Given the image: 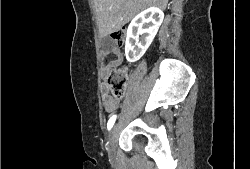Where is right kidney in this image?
Here are the masks:
<instances>
[{"label":"right kidney","mask_w":250,"mask_h":169,"mask_svg":"<svg viewBox=\"0 0 250 169\" xmlns=\"http://www.w3.org/2000/svg\"><path fill=\"white\" fill-rule=\"evenodd\" d=\"M164 18V12L158 6H149L131 20L127 28L125 56L129 62H135L143 56L150 46ZM139 34H145L140 38Z\"/></svg>","instance_id":"obj_1"}]
</instances>
